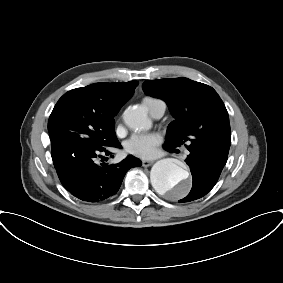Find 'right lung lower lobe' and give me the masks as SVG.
Masks as SVG:
<instances>
[{"label": "right lung lower lobe", "instance_id": "obj_1", "mask_svg": "<svg viewBox=\"0 0 283 283\" xmlns=\"http://www.w3.org/2000/svg\"><path fill=\"white\" fill-rule=\"evenodd\" d=\"M111 147H120L117 142ZM108 148L82 147L62 156H52L54 167L62 185L75 197L87 202H101L115 195L126 172L141 166L131 155L118 164H97V158L109 155Z\"/></svg>", "mask_w": 283, "mask_h": 283}]
</instances>
